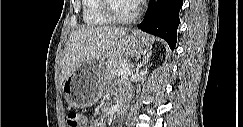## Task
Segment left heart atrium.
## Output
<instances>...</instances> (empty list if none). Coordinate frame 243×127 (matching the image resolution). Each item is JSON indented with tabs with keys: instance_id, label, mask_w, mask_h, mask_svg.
Returning a JSON list of instances; mask_svg holds the SVG:
<instances>
[{
	"instance_id": "39dd6f15",
	"label": "left heart atrium",
	"mask_w": 243,
	"mask_h": 127,
	"mask_svg": "<svg viewBox=\"0 0 243 127\" xmlns=\"http://www.w3.org/2000/svg\"><path fill=\"white\" fill-rule=\"evenodd\" d=\"M131 2H133V3H140L141 0H133V1H131Z\"/></svg>"
}]
</instances>
